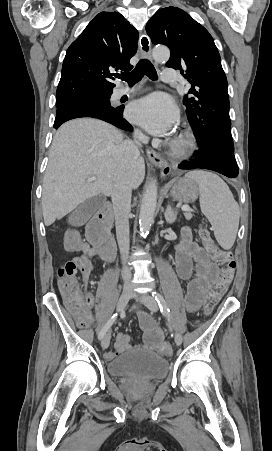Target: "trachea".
Masks as SVG:
<instances>
[{
  "label": "trachea",
  "instance_id": "trachea-1",
  "mask_svg": "<svg viewBox=\"0 0 272 451\" xmlns=\"http://www.w3.org/2000/svg\"><path fill=\"white\" fill-rule=\"evenodd\" d=\"M144 75H147L151 80L157 79V72L152 63L147 59L140 60L132 72L121 73L118 78L124 80L129 85H134L139 82Z\"/></svg>",
  "mask_w": 272,
  "mask_h": 451
}]
</instances>
